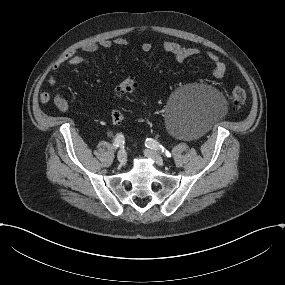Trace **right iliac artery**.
<instances>
[{
	"label": "right iliac artery",
	"mask_w": 285,
	"mask_h": 285,
	"mask_svg": "<svg viewBox=\"0 0 285 285\" xmlns=\"http://www.w3.org/2000/svg\"><path fill=\"white\" fill-rule=\"evenodd\" d=\"M124 142V136L122 134H117L116 138L114 139L113 146L115 149L124 147Z\"/></svg>",
	"instance_id": "right-iliac-artery-1"
}]
</instances>
